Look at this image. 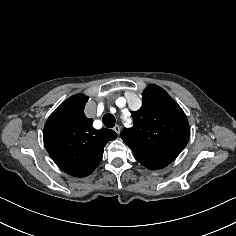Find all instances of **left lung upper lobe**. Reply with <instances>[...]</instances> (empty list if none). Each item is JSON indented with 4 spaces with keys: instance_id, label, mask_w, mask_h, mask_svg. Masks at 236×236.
Wrapping results in <instances>:
<instances>
[{
    "instance_id": "obj_1",
    "label": "left lung upper lobe",
    "mask_w": 236,
    "mask_h": 236,
    "mask_svg": "<svg viewBox=\"0 0 236 236\" xmlns=\"http://www.w3.org/2000/svg\"><path fill=\"white\" fill-rule=\"evenodd\" d=\"M142 107L132 112L134 126L121 133L137 160L151 170L170 164L185 148L190 127L181 107L161 87L150 84Z\"/></svg>"
}]
</instances>
